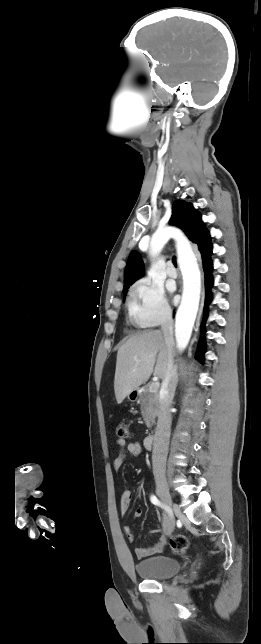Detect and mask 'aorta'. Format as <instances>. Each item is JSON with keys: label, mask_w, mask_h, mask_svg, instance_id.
Masks as SVG:
<instances>
[{"label": "aorta", "mask_w": 261, "mask_h": 644, "mask_svg": "<svg viewBox=\"0 0 261 644\" xmlns=\"http://www.w3.org/2000/svg\"><path fill=\"white\" fill-rule=\"evenodd\" d=\"M168 238V233L157 231L151 240L150 254L155 256L160 253ZM178 263L183 276V294L176 315L175 337L177 348L182 351L189 343L198 311L200 272L195 256L189 249L183 248L179 250Z\"/></svg>", "instance_id": "obj_1"}]
</instances>
